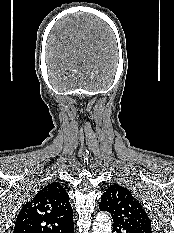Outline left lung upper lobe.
I'll return each instance as SVG.
<instances>
[{
    "label": "left lung upper lobe",
    "mask_w": 174,
    "mask_h": 233,
    "mask_svg": "<svg viewBox=\"0 0 174 233\" xmlns=\"http://www.w3.org/2000/svg\"><path fill=\"white\" fill-rule=\"evenodd\" d=\"M100 211H108L113 225L122 227L130 233H152L151 220L129 190L111 185L101 196Z\"/></svg>",
    "instance_id": "1"
}]
</instances>
